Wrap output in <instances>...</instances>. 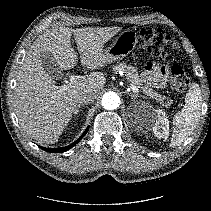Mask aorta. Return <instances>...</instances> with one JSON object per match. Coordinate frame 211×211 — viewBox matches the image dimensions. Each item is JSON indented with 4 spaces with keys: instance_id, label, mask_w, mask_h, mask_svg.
<instances>
[{
    "instance_id": "obj_1",
    "label": "aorta",
    "mask_w": 211,
    "mask_h": 211,
    "mask_svg": "<svg viewBox=\"0 0 211 211\" xmlns=\"http://www.w3.org/2000/svg\"><path fill=\"white\" fill-rule=\"evenodd\" d=\"M120 105V98L114 92H107L102 97V106L107 110L117 109Z\"/></svg>"
}]
</instances>
